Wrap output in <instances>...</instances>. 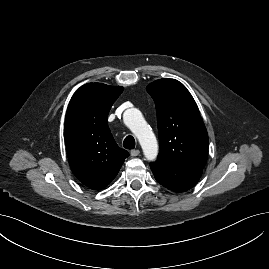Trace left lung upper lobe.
Instances as JSON below:
<instances>
[{"instance_id":"obj_1","label":"left lung upper lobe","mask_w":269,"mask_h":269,"mask_svg":"<svg viewBox=\"0 0 269 269\" xmlns=\"http://www.w3.org/2000/svg\"><path fill=\"white\" fill-rule=\"evenodd\" d=\"M156 105L160 152L157 160L203 169L208 134L187 88L174 79H159L146 87Z\"/></svg>"}]
</instances>
